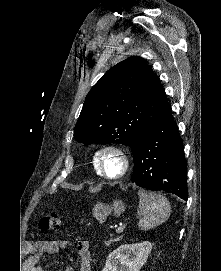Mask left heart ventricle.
<instances>
[{
	"label": "left heart ventricle",
	"mask_w": 221,
	"mask_h": 271,
	"mask_svg": "<svg viewBox=\"0 0 221 271\" xmlns=\"http://www.w3.org/2000/svg\"><path fill=\"white\" fill-rule=\"evenodd\" d=\"M108 156H117L116 153H109ZM106 169V173L105 176L106 177H120L121 173L119 171V169H123L122 166H112V165H107L105 166Z\"/></svg>",
	"instance_id": "1"
}]
</instances>
